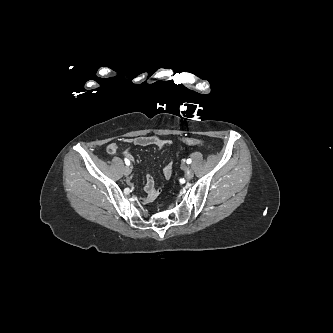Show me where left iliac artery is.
Masks as SVG:
<instances>
[{
	"label": "left iliac artery",
	"mask_w": 333,
	"mask_h": 333,
	"mask_svg": "<svg viewBox=\"0 0 333 333\" xmlns=\"http://www.w3.org/2000/svg\"><path fill=\"white\" fill-rule=\"evenodd\" d=\"M187 164H190L191 162H192V160L189 158V159H187Z\"/></svg>",
	"instance_id": "obj_1"
}]
</instances>
